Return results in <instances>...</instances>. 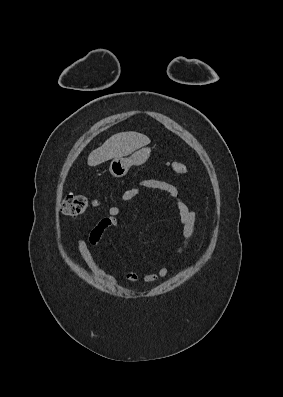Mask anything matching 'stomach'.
<instances>
[{
  "instance_id": "stomach-1",
  "label": "stomach",
  "mask_w": 283,
  "mask_h": 397,
  "mask_svg": "<svg viewBox=\"0 0 283 397\" xmlns=\"http://www.w3.org/2000/svg\"><path fill=\"white\" fill-rule=\"evenodd\" d=\"M150 153L149 148H142L134 152L129 158H114L110 163L109 171L114 177H123L132 165L144 164L150 157Z\"/></svg>"
}]
</instances>
